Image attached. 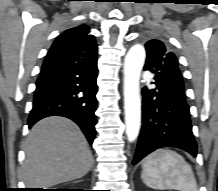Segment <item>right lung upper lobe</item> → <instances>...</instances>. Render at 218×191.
<instances>
[{
    "mask_svg": "<svg viewBox=\"0 0 218 191\" xmlns=\"http://www.w3.org/2000/svg\"><path fill=\"white\" fill-rule=\"evenodd\" d=\"M90 29L86 25H80L71 29L66 30L62 35L67 36L71 39L79 41H95L93 35L89 34Z\"/></svg>",
    "mask_w": 218,
    "mask_h": 191,
    "instance_id": "obj_1",
    "label": "right lung upper lobe"
}]
</instances>
